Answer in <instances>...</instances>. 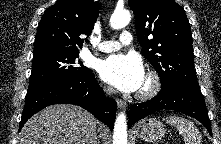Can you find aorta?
<instances>
[{"label":"aorta","instance_id":"obj_1","mask_svg":"<svg viewBox=\"0 0 221 144\" xmlns=\"http://www.w3.org/2000/svg\"><path fill=\"white\" fill-rule=\"evenodd\" d=\"M130 20L131 15L128 10L115 11L110 18V25L113 29H121L127 26ZM113 144H127V123L123 112L118 114L115 120Z\"/></svg>","mask_w":221,"mask_h":144}]
</instances>
